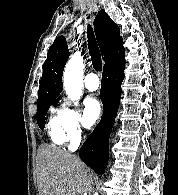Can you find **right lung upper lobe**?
I'll list each match as a JSON object with an SVG mask.
<instances>
[{
  "label": "right lung upper lobe",
  "instance_id": "right-lung-upper-lobe-1",
  "mask_svg": "<svg viewBox=\"0 0 178 195\" xmlns=\"http://www.w3.org/2000/svg\"><path fill=\"white\" fill-rule=\"evenodd\" d=\"M95 34L105 61L104 71L125 65L123 39L117 24L101 10L94 20ZM69 57L66 39L60 36L48 50L38 91L37 105L54 101L63 90L62 74Z\"/></svg>",
  "mask_w": 178,
  "mask_h": 195
}]
</instances>
